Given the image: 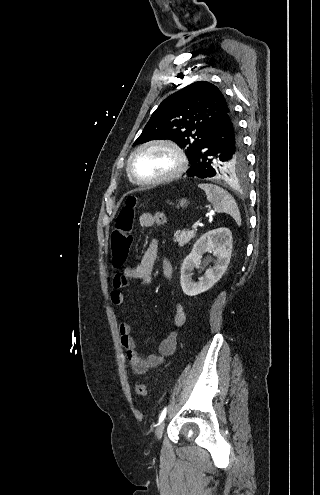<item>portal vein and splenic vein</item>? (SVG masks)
<instances>
[{"label":"portal vein and splenic vein","instance_id":"18ae733b","mask_svg":"<svg viewBox=\"0 0 320 495\" xmlns=\"http://www.w3.org/2000/svg\"><path fill=\"white\" fill-rule=\"evenodd\" d=\"M197 227H198V224L196 223V224H194V225L192 226V229H193V230H197Z\"/></svg>","mask_w":320,"mask_h":495}]
</instances>
